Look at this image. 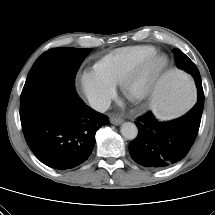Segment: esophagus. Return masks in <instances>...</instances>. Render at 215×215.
Listing matches in <instances>:
<instances>
[{
	"label": "esophagus",
	"mask_w": 215,
	"mask_h": 215,
	"mask_svg": "<svg viewBox=\"0 0 215 215\" xmlns=\"http://www.w3.org/2000/svg\"><path fill=\"white\" fill-rule=\"evenodd\" d=\"M110 122L113 124V125H119L123 122V119L121 118H116V117H111L110 118Z\"/></svg>",
	"instance_id": "34e87169"
}]
</instances>
